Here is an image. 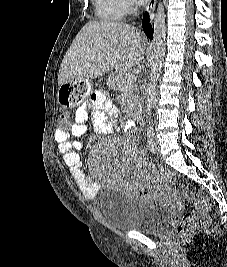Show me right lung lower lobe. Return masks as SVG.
Returning <instances> with one entry per match:
<instances>
[{
    "label": "right lung lower lobe",
    "mask_w": 227,
    "mask_h": 267,
    "mask_svg": "<svg viewBox=\"0 0 227 267\" xmlns=\"http://www.w3.org/2000/svg\"><path fill=\"white\" fill-rule=\"evenodd\" d=\"M142 26H143L145 34L150 38V40H152L153 28H152V25L149 23V14L147 12L143 16Z\"/></svg>",
    "instance_id": "right-lung-lower-lobe-1"
}]
</instances>
